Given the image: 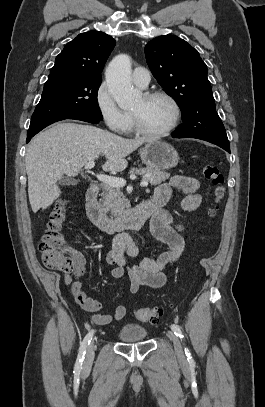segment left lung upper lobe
I'll list each match as a JSON object with an SVG mask.
<instances>
[{"label":"left lung upper lobe","instance_id":"obj_1","mask_svg":"<svg viewBox=\"0 0 265 407\" xmlns=\"http://www.w3.org/2000/svg\"><path fill=\"white\" fill-rule=\"evenodd\" d=\"M145 56L158 83L182 111L183 124L173 135L229 146L198 51L177 36L164 35L146 44Z\"/></svg>","mask_w":265,"mask_h":407}]
</instances>
